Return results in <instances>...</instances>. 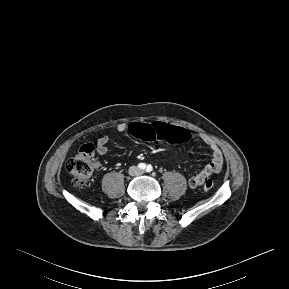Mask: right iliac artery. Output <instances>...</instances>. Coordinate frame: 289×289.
<instances>
[{
    "label": "right iliac artery",
    "mask_w": 289,
    "mask_h": 289,
    "mask_svg": "<svg viewBox=\"0 0 289 289\" xmlns=\"http://www.w3.org/2000/svg\"><path fill=\"white\" fill-rule=\"evenodd\" d=\"M146 167H147V166H146V164H144V163H139V164H138V168L141 169V170H145Z\"/></svg>",
    "instance_id": "82829eb1"
}]
</instances>
